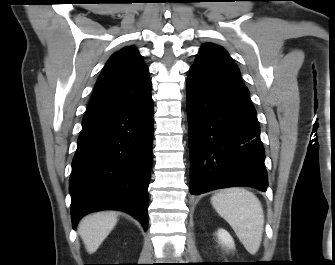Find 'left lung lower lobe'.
Wrapping results in <instances>:
<instances>
[{"instance_id":"obj_1","label":"left lung lower lobe","mask_w":335,"mask_h":265,"mask_svg":"<svg viewBox=\"0 0 335 265\" xmlns=\"http://www.w3.org/2000/svg\"><path fill=\"white\" fill-rule=\"evenodd\" d=\"M186 89L190 193L233 186L266 191L265 151L248 91L192 67Z\"/></svg>"}]
</instances>
